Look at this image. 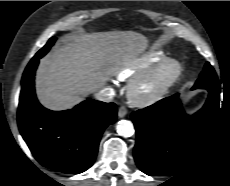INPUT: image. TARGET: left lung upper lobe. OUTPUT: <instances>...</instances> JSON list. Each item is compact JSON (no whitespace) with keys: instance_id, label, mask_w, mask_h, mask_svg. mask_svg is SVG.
I'll use <instances>...</instances> for the list:
<instances>
[{"instance_id":"left-lung-upper-lobe-1","label":"left lung upper lobe","mask_w":230,"mask_h":186,"mask_svg":"<svg viewBox=\"0 0 230 186\" xmlns=\"http://www.w3.org/2000/svg\"><path fill=\"white\" fill-rule=\"evenodd\" d=\"M208 85H219L216 73L210 63H206L203 72L193 88H200Z\"/></svg>"}]
</instances>
